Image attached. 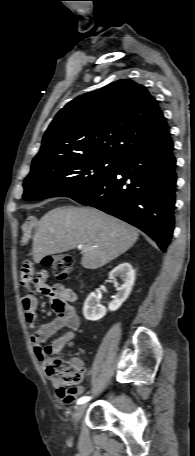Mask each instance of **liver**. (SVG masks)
<instances>
[{
	"label": "liver",
	"mask_w": 195,
	"mask_h": 456,
	"mask_svg": "<svg viewBox=\"0 0 195 456\" xmlns=\"http://www.w3.org/2000/svg\"><path fill=\"white\" fill-rule=\"evenodd\" d=\"M138 230L113 216L90 207H58L39 221L33 240V259L75 249L83 244L81 264L98 269L130 249Z\"/></svg>",
	"instance_id": "1"
}]
</instances>
